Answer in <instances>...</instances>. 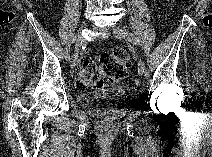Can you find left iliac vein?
<instances>
[{
	"mask_svg": "<svg viewBox=\"0 0 212 157\" xmlns=\"http://www.w3.org/2000/svg\"><path fill=\"white\" fill-rule=\"evenodd\" d=\"M112 32L118 39H128L132 36L130 32L119 27H112ZM138 73L140 76H142L143 74L145 75L144 66L142 63L138 64Z\"/></svg>",
	"mask_w": 212,
	"mask_h": 157,
	"instance_id": "1",
	"label": "left iliac vein"
}]
</instances>
